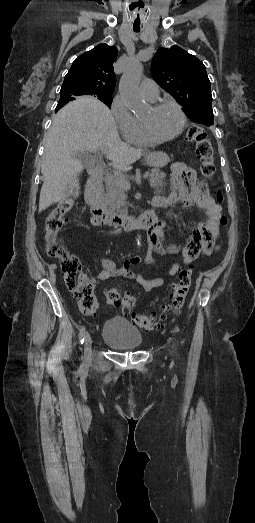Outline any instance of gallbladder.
Listing matches in <instances>:
<instances>
[{
    "instance_id": "gallbladder-1",
    "label": "gallbladder",
    "mask_w": 255,
    "mask_h": 523,
    "mask_svg": "<svg viewBox=\"0 0 255 523\" xmlns=\"http://www.w3.org/2000/svg\"><path fill=\"white\" fill-rule=\"evenodd\" d=\"M75 158H77V160H79V162H81L83 166H87V164L91 162L90 156H88V154H85V152H76Z\"/></svg>"
}]
</instances>
